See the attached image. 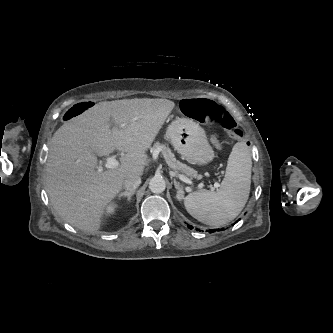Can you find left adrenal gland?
<instances>
[{"mask_svg": "<svg viewBox=\"0 0 333 333\" xmlns=\"http://www.w3.org/2000/svg\"><path fill=\"white\" fill-rule=\"evenodd\" d=\"M174 186H175V188L177 189V198L179 199V200H181L182 198H183V196H184V191H183V189H182V186L180 185V183L179 182H177L175 179H174Z\"/></svg>", "mask_w": 333, "mask_h": 333, "instance_id": "left-adrenal-gland-1", "label": "left adrenal gland"}]
</instances>
